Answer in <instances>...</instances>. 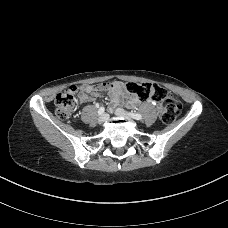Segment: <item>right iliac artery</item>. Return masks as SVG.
<instances>
[{"mask_svg": "<svg viewBox=\"0 0 228 228\" xmlns=\"http://www.w3.org/2000/svg\"><path fill=\"white\" fill-rule=\"evenodd\" d=\"M104 112H105V108L103 106L100 107L99 110H98V114L102 115Z\"/></svg>", "mask_w": 228, "mask_h": 228, "instance_id": "82829eb1", "label": "right iliac artery"}]
</instances>
